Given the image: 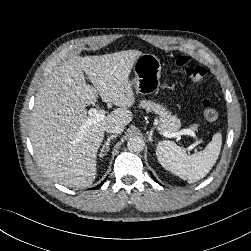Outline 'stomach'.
I'll return each mask as SVG.
<instances>
[{
	"instance_id": "1",
	"label": "stomach",
	"mask_w": 251,
	"mask_h": 251,
	"mask_svg": "<svg viewBox=\"0 0 251 251\" xmlns=\"http://www.w3.org/2000/svg\"><path fill=\"white\" fill-rule=\"evenodd\" d=\"M135 77L130 84L141 95L157 92L160 86L161 63L154 54H142L134 63Z\"/></svg>"
}]
</instances>
